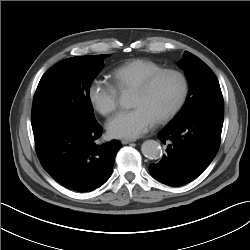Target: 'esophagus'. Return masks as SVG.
Listing matches in <instances>:
<instances>
[{"mask_svg": "<svg viewBox=\"0 0 250 250\" xmlns=\"http://www.w3.org/2000/svg\"><path fill=\"white\" fill-rule=\"evenodd\" d=\"M135 141H136L135 139H122L121 143L122 144H129V143H132V142H135Z\"/></svg>", "mask_w": 250, "mask_h": 250, "instance_id": "esophagus-1", "label": "esophagus"}]
</instances>
